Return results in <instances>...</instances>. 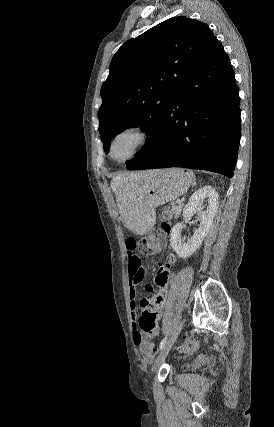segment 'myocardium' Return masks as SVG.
I'll return each mask as SVG.
<instances>
[{"instance_id":"f54148a6","label":"myocardium","mask_w":274,"mask_h":427,"mask_svg":"<svg viewBox=\"0 0 274 427\" xmlns=\"http://www.w3.org/2000/svg\"><path fill=\"white\" fill-rule=\"evenodd\" d=\"M126 132H130V133H133L135 135V137H136L135 148L128 158H126L122 161H116L112 156L113 143L119 135L126 133ZM151 138H152L151 132L143 124L131 123V124L125 125V126L119 128L110 137L109 142H108V148H107L108 156L113 162H115L117 164L128 163L131 160L135 159L143 151V149L150 143Z\"/></svg>"}]
</instances>
